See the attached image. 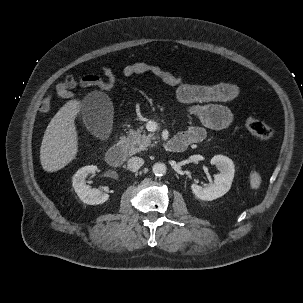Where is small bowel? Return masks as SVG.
I'll return each instance as SVG.
<instances>
[{"label": "small bowel", "instance_id": "c3829d8e", "mask_svg": "<svg viewBox=\"0 0 303 303\" xmlns=\"http://www.w3.org/2000/svg\"><path fill=\"white\" fill-rule=\"evenodd\" d=\"M105 78L116 79L110 68L103 67ZM151 75L162 83L172 87L179 102L186 106L190 116L197 123L190 124L182 135L192 143H199L205 137L207 130H224L232 126L234 115L223 103L235 100L241 94L240 88L226 81H219L211 85H198L187 83L181 72H171L160 66L146 62H135L125 66L121 75L130 77L133 75ZM104 78L86 75L75 77L67 74L63 80L58 82L53 89L41 100L39 111L47 113L51 107L52 94L67 100H74L76 95L74 89L78 86L96 87L103 90Z\"/></svg>", "mask_w": 303, "mask_h": 303}]
</instances>
